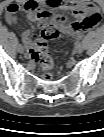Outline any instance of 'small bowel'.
I'll list each match as a JSON object with an SVG mask.
<instances>
[{"instance_id":"c3829d8e","label":"small bowel","mask_w":104,"mask_h":137,"mask_svg":"<svg viewBox=\"0 0 104 137\" xmlns=\"http://www.w3.org/2000/svg\"><path fill=\"white\" fill-rule=\"evenodd\" d=\"M45 8V9H42ZM26 11L29 20L39 21V13H49L53 23L60 25L66 34L77 36L82 31L93 28L101 19L100 10L89 0H27L22 3H11L5 12V21L9 25L17 23V13ZM48 10H67L76 18L75 21L66 24V18L61 14H51ZM30 57H32L33 45L30 40L29 30L21 33Z\"/></svg>"}]
</instances>
